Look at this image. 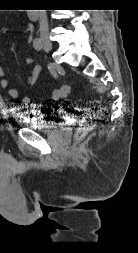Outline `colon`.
<instances>
[{
	"label": "colon",
	"mask_w": 138,
	"mask_h": 253,
	"mask_svg": "<svg viewBox=\"0 0 138 253\" xmlns=\"http://www.w3.org/2000/svg\"><path fill=\"white\" fill-rule=\"evenodd\" d=\"M71 91L70 85H62L61 87L54 89L51 93V98L53 100H58L60 98L66 97ZM95 124L91 117H84L81 121L80 127L77 129L75 138L77 140L83 139L88 132L94 128Z\"/></svg>",
	"instance_id": "1"
}]
</instances>
